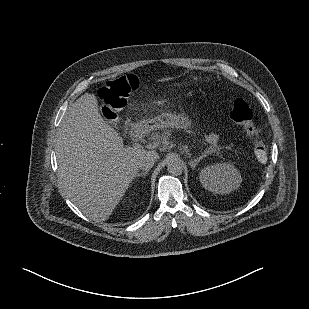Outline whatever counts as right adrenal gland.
Here are the masks:
<instances>
[{
  "label": "right adrenal gland",
  "mask_w": 309,
  "mask_h": 309,
  "mask_svg": "<svg viewBox=\"0 0 309 309\" xmlns=\"http://www.w3.org/2000/svg\"><path fill=\"white\" fill-rule=\"evenodd\" d=\"M148 174V171H145L143 173H138L137 177H143L146 176Z\"/></svg>",
  "instance_id": "right-adrenal-gland-1"
}]
</instances>
